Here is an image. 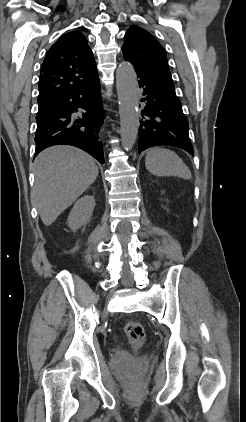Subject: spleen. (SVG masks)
Segmentation results:
<instances>
[{
    "label": "spleen",
    "instance_id": "1",
    "mask_svg": "<svg viewBox=\"0 0 246 422\" xmlns=\"http://www.w3.org/2000/svg\"><path fill=\"white\" fill-rule=\"evenodd\" d=\"M145 166L156 176H177L191 179L192 174L182 159L172 150L161 147L150 149L146 153Z\"/></svg>",
    "mask_w": 246,
    "mask_h": 422
}]
</instances>
